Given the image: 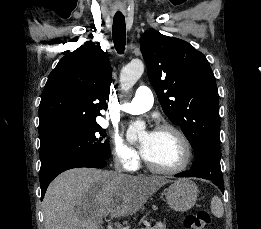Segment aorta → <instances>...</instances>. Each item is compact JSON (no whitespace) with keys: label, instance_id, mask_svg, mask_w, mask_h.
<instances>
[{"label":"aorta","instance_id":"1","mask_svg":"<svg viewBox=\"0 0 261 229\" xmlns=\"http://www.w3.org/2000/svg\"><path fill=\"white\" fill-rule=\"evenodd\" d=\"M144 72V64L140 58H133L126 66H123L120 72L121 86L123 90H129L141 74ZM129 137H137V139H144L146 137L144 121H135L130 125L127 131Z\"/></svg>","mask_w":261,"mask_h":229}]
</instances>
